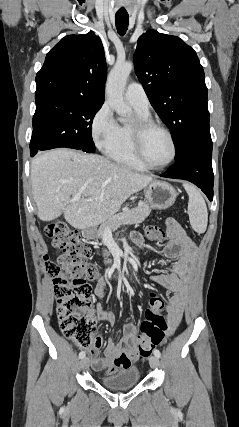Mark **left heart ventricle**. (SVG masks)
<instances>
[{
    "label": "left heart ventricle",
    "instance_id": "obj_1",
    "mask_svg": "<svg viewBox=\"0 0 239 427\" xmlns=\"http://www.w3.org/2000/svg\"><path fill=\"white\" fill-rule=\"evenodd\" d=\"M144 154L154 165L167 162L172 156V145L168 136L160 130H151L145 138Z\"/></svg>",
    "mask_w": 239,
    "mask_h": 427
}]
</instances>
